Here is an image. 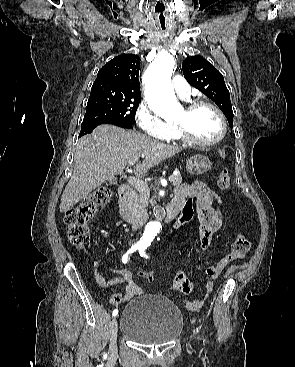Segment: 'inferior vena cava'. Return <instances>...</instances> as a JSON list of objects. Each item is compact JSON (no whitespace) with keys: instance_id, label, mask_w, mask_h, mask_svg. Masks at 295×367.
<instances>
[{"instance_id":"1","label":"inferior vena cava","mask_w":295,"mask_h":367,"mask_svg":"<svg viewBox=\"0 0 295 367\" xmlns=\"http://www.w3.org/2000/svg\"><path fill=\"white\" fill-rule=\"evenodd\" d=\"M133 229H137V226L136 225H133V227H132Z\"/></svg>"}]
</instances>
